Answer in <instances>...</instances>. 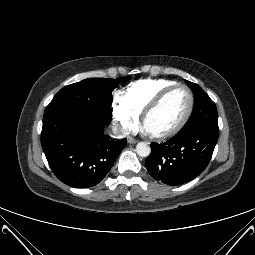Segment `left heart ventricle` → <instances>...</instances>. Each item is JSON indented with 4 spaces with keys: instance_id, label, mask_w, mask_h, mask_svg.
<instances>
[{
    "instance_id": "obj_1",
    "label": "left heart ventricle",
    "mask_w": 255,
    "mask_h": 255,
    "mask_svg": "<svg viewBox=\"0 0 255 255\" xmlns=\"http://www.w3.org/2000/svg\"><path fill=\"white\" fill-rule=\"evenodd\" d=\"M189 106V94L185 89L171 92L161 105L146 120V130L161 133L176 126Z\"/></svg>"
}]
</instances>
